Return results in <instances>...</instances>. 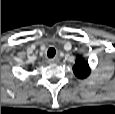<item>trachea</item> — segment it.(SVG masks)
<instances>
[{
  "mask_svg": "<svg viewBox=\"0 0 115 114\" xmlns=\"http://www.w3.org/2000/svg\"><path fill=\"white\" fill-rule=\"evenodd\" d=\"M56 54V50L54 48H49L48 51H47V56L49 58H53Z\"/></svg>",
  "mask_w": 115,
  "mask_h": 114,
  "instance_id": "trachea-1",
  "label": "trachea"
}]
</instances>
